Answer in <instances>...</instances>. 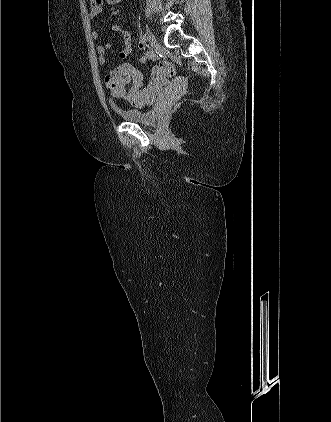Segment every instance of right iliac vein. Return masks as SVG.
<instances>
[{
	"mask_svg": "<svg viewBox=\"0 0 331 422\" xmlns=\"http://www.w3.org/2000/svg\"><path fill=\"white\" fill-rule=\"evenodd\" d=\"M146 36H147V39H148L149 43L151 44V46L154 49H157L158 46H159V43H158L157 39L155 38V36L153 35V33L151 32V30L147 26H146Z\"/></svg>",
	"mask_w": 331,
	"mask_h": 422,
	"instance_id": "1",
	"label": "right iliac vein"
}]
</instances>
